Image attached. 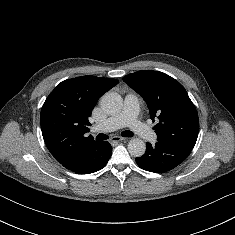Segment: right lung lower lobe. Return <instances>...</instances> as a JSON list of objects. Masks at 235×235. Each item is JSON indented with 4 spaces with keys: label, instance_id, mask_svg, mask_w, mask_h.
<instances>
[{
    "label": "right lung lower lobe",
    "instance_id": "right-lung-lower-lobe-1",
    "mask_svg": "<svg viewBox=\"0 0 235 235\" xmlns=\"http://www.w3.org/2000/svg\"><path fill=\"white\" fill-rule=\"evenodd\" d=\"M112 154V146L107 141H96L88 145L80 158L68 169L78 174H89L101 170Z\"/></svg>",
    "mask_w": 235,
    "mask_h": 235
}]
</instances>
